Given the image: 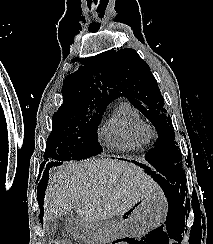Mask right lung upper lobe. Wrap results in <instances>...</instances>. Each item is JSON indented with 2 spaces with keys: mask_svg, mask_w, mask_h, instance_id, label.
<instances>
[{
  "mask_svg": "<svg viewBox=\"0 0 213 244\" xmlns=\"http://www.w3.org/2000/svg\"><path fill=\"white\" fill-rule=\"evenodd\" d=\"M95 73L94 66L89 65L81 66L75 73L68 75L63 84V104L60 108L81 106L105 110L109 102L102 97L100 90L94 84Z\"/></svg>",
  "mask_w": 213,
  "mask_h": 244,
  "instance_id": "cb5924a9",
  "label": "right lung upper lobe"
}]
</instances>
